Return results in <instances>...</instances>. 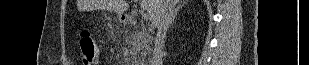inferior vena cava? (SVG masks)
Wrapping results in <instances>:
<instances>
[{
  "mask_svg": "<svg viewBox=\"0 0 309 65\" xmlns=\"http://www.w3.org/2000/svg\"><path fill=\"white\" fill-rule=\"evenodd\" d=\"M172 8L167 6V8L162 12L156 27L157 35L154 42L153 55L150 60V65H162L163 58V48L165 44V37L172 18Z\"/></svg>",
  "mask_w": 309,
  "mask_h": 65,
  "instance_id": "inferior-vena-cava-1",
  "label": "inferior vena cava"
}]
</instances>
